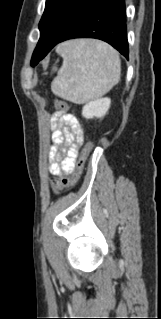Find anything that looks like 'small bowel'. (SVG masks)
<instances>
[{"label": "small bowel", "instance_id": "c3829d8e", "mask_svg": "<svg viewBox=\"0 0 161 319\" xmlns=\"http://www.w3.org/2000/svg\"><path fill=\"white\" fill-rule=\"evenodd\" d=\"M54 145L49 152L50 173L66 175L73 171L75 159L83 143L79 120L70 113L55 111L50 119Z\"/></svg>", "mask_w": 161, "mask_h": 319}]
</instances>
